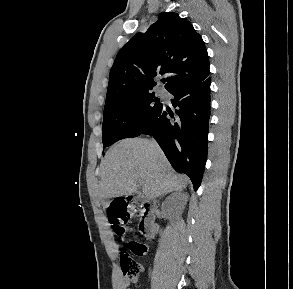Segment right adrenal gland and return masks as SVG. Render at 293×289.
<instances>
[{
  "label": "right adrenal gland",
  "mask_w": 293,
  "mask_h": 289,
  "mask_svg": "<svg viewBox=\"0 0 293 289\" xmlns=\"http://www.w3.org/2000/svg\"><path fill=\"white\" fill-rule=\"evenodd\" d=\"M167 194V193H166ZM166 194H163L161 197H160V199L162 198V197H164Z\"/></svg>",
  "instance_id": "obj_1"
}]
</instances>
